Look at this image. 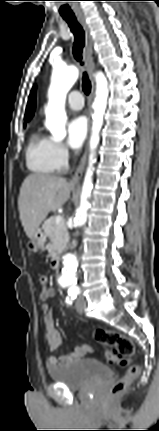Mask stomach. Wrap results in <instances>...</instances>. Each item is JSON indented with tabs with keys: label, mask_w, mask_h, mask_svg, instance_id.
<instances>
[{
	"label": "stomach",
	"mask_w": 159,
	"mask_h": 431,
	"mask_svg": "<svg viewBox=\"0 0 159 431\" xmlns=\"http://www.w3.org/2000/svg\"><path fill=\"white\" fill-rule=\"evenodd\" d=\"M46 236L45 234L39 229L33 236L30 238L29 242L27 243V248L29 251L36 252L40 249H42L45 245Z\"/></svg>",
	"instance_id": "stomach-1"
}]
</instances>
